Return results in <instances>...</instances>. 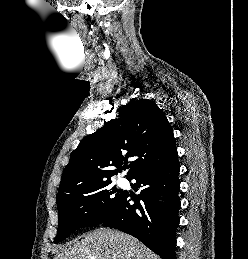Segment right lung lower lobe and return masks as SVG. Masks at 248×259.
Wrapping results in <instances>:
<instances>
[{
	"label": "right lung lower lobe",
	"mask_w": 248,
	"mask_h": 259,
	"mask_svg": "<svg viewBox=\"0 0 248 259\" xmlns=\"http://www.w3.org/2000/svg\"><path fill=\"white\" fill-rule=\"evenodd\" d=\"M180 165L177 153L172 157L139 170L129 179H135L140 189L138 201L131 205L126 192L116 213L102 223L130 234L162 259H176V227L179 225L178 175Z\"/></svg>",
	"instance_id": "1"
}]
</instances>
